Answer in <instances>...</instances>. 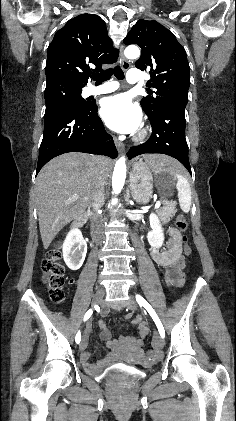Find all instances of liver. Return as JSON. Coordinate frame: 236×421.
I'll list each match as a JSON object with an SVG mask.
<instances>
[{"instance_id":"6515ba94","label":"liver","mask_w":236,"mask_h":421,"mask_svg":"<svg viewBox=\"0 0 236 421\" xmlns=\"http://www.w3.org/2000/svg\"><path fill=\"white\" fill-rule=\"evenodd\" d=\"M149 166H166L176 162L166 154H143ZM107 184L113 160L108 156H90L84 152H65L49 160L41 168L35 186L40 235L44 249H48L59 231L83 215L92 198L95 184L94 168ZM72 194H78L72 200Z\"/></svg>"}]
</instances>
